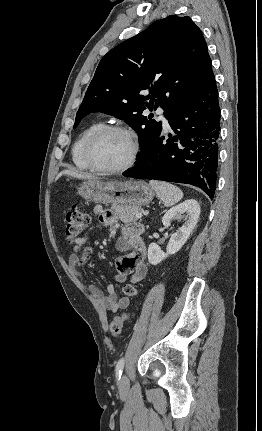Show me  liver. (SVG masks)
<instances>
[{"mask_svg":"<svg viewBox=\"0 0 262 431\" xmlns=\"http://www.w3.org/2000/svg\"><path fill=\"white\" fill-rule=\"evenodd\" d=\"M63 175H67V176H71L77 179H87V180H91V179H95L94 176L90 175V174H86V173H81V172H77L74 170H63L61 171L57 176H56V180H58L61 176Z\"/></svg>","mask_w":262,"mask_h":431,"instance_id":"obj_1","label":"liver"}]
</instances>
